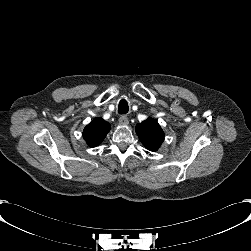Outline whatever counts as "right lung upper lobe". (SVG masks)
<instances>
[{
  "instance_id": "obj_1",
  "label": "right lung upper lobe",
  "mask_w": 251,
  "mask_h": 251,
  "mask_svg": "<svg viewBox=\"0 0 251 251\" xmlns=\"http://www.w3.org/2000/svg\"><path fill=\"white\" fill-rule=\"evenodd\" d=\"M110 131V124L102 118H95L84 128L83 137L90 147L98 146L107 133Z\"/></svg>"
}]
</instances>
